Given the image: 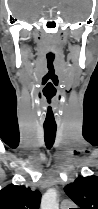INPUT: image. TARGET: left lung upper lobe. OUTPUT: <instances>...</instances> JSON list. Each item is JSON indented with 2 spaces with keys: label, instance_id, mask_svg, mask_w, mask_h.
<instances>
[{
  "label": "left lung upper lobe",
  "instance_id": "obj_1",
  "mask_svg": "<svg viewBox=\"0 0 98 209\" xmlns=\"http://www.w3.org/2000/svg\"><path fill=\"white\" fill-rule=\"evenodd\" d=\"M65 193L79 206V209H98V177H78L64 187Z\"/></svg>",
  "mask_w": 98,
  "mask_h": 209
}]
</instances>
